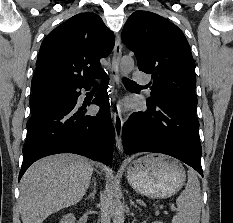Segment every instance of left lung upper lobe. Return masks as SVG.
I'll return each instance as SVG.
<instances>
[{
    "instance_id": "1",
    "label": "left lung upper lobe",
    "mask_w": 233,
    "mask_h": 223,
    "mask_svg": "<svg viewBox=\"0 0 233 223\" xmlns=\"http://www.w3.org/2000/svg\"><path fill=\"white\" fill-rule=\"evenodd\" d=\"M121 37L135 53L139 70L152 74L148 105L197 106L195 62L185 35L176 25L155 13L135 11Z\"/></svg>"
}]
</instances>
